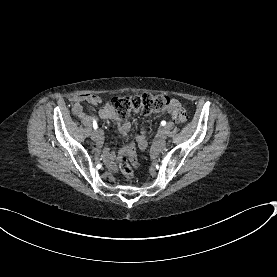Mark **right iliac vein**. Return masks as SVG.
Masks as SVG:
<instances>
[{
    "instance_id": "1",
    "label": "right iliac vein",
    "mask_w": 277,
    "mask_h": 277,
    "mask_svg": "<svg viewBox=\"0 0 277 277\" xmlns=\"http://www.w3.org/2000/svg\"><path fill=\"white\" fill-rule=\"evenodd\" d=\"M91 138L93 141L97 142L100 139L99 132L96 130L92 131Z\"/></svg>"
}]
</instances>
